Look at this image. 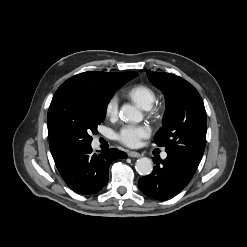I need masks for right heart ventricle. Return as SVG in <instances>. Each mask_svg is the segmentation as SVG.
<instances>
[{
    "label": "right heart ventricle",
    "mask_w": 247,
    "mask_h": 247,
    "mask_svg": "<svg viewBox=\"0 0 247 247\" xmlns=\"http://www.w3.org/2000/svg\"><path fill=\"white\" fill-rule=\"evenodd\" d=\"M128 97L142 109H150L156 101L155 91L148 85L137 84L127 91Z\"/></svg>",
    "instance_id": "right-heart-ventricle-1"
}]
</instances>
